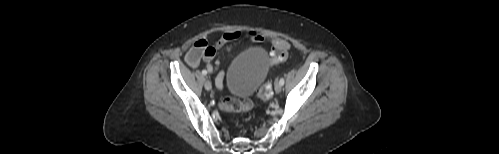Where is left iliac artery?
Returning a JSON list of instances; mask_svg holds the SVG:
<instances>
[{
  "label": "left iliac artery",
  "instance_id": "left-iliac-artery-1",
  "mask_svg": "<svg viewBox=\"0 0 499 154\" xmlns=\"http://www.w3.org/2000/svg\"><path fill=\"white\" fill-rule=\"evenodd\" d=\"M279 82H280V84L283 86V85H284V82H285L284 78H281Z\"/></svg>",
  "mask_w": 499,
  "mask_h": 154
}]
</instances>
